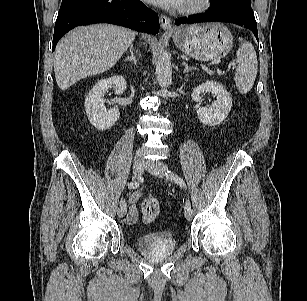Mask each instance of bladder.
I'll return each instance as SVG.
<instances>
[{
	"label": "bladder",
	"mask_w": 307,
	"mask_h": 301,
	"mask_svg": "<svg viewBox=\"0 0 307 301\" xmlns=\"http://www.w3.org/2000/svg\"><path fill=\"white\" fill-rule=\"evenodd\" d=\"M137 247L150 259H160L173 252L175 240L169 233L156 232L138 238Z\"/></svg>",
	"instance_id": "obj_1"
}]
</instances>
